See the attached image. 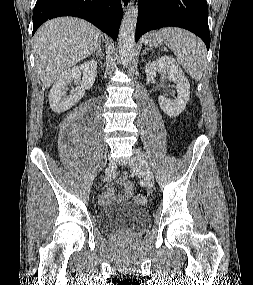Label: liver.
Here are the masks:
<instances>
[{
  "instance_id": "obj_1",
  "label": "liver",
  "mask_w": 253,
  "mask_h": 285,
  "mask_svg": "<svg viewBox=\"0 0 253 285\" xmlns=\"http://www.w3.org/2000/svg\"><path fill=\"white\" fill-rule=\"evenodd\" d=\"M102 33L74 17L47 21L34 36V54L40 80L49 88L58 76L86 58L101 44Z\"/></svg>"
}]
</instances>
